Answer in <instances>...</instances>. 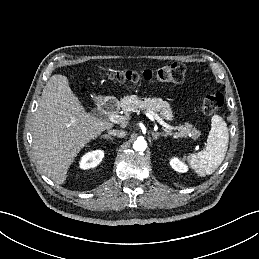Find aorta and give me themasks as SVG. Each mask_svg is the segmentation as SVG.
<instances>
[{
  "label": "aorta",
  "mask_w": 259,
  "mask_h": 259,
  "mask_svg": "<svg viewBox=\"0 0 259 259\" xmlns=\"http://www.w3.org/2000/svg\"><path fill=\"white\" fill-rule=\"evenodd\" d=\"M146 148H147V142L143 138H138L133 143V149L135 151H145Z\"/></svg>",
  "instance_id": "obj_1"
}]
</instances>
